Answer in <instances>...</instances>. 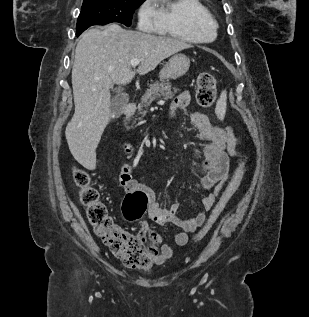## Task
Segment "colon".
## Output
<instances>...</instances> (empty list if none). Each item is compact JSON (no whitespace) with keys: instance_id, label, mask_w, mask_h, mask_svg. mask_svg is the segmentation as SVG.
Masks as SVG:
<instances>
[{"instance_id":"obj_1","label":"colon","mask_w":309,"mask_h":317,"mask_svg":"<svg viewBox=\"0 0 309 317\" xmlns=\"http://www.w3.org/2000/svg\"><path fill=\"white\" fill-rule=\"evenodd\" d=\"M216 98V80L210 73H202L197 79L196 99L200 106L210 107ZM244 173V161L242 160L230 182L224 189L220 199L206 225L196 236L202 238L212 223L220 215L227 203L237 190ZM74 180L80 188V201L86 209L87 217L93 226L95 233L109 246L113 254L119 258L125 266L133 269H147L156 255V245L159 243L158 235L153 231L135 236L125 231L114 222L108 213L107 207L100 200L98 190L92 186L90 175L83 169L76 168L73 172ZM147 208V196L143 192L128 193L124 199L123 212L128 220L140 219ZM148 239L150 244L144 243Z\"/></svg>"}]
</instances>
